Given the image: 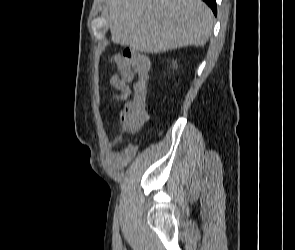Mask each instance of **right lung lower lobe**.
<instances>
[{
	"label": "right lung lower lobe",
	"mask_w": 295,
	"mask_h": 250,
	"mask_svg": "<svg viewBox=\"0 0 295 250\" xmlns=\"http://www.w3.org/2000/svg\"><path fill=\"white\" fill-rule=\"evenodd\" d=\"M205 3L208 4V6L212 9L214 14H217V9H216V0H203Z\"/></svg>",
	"instance_id": "98d812e1"
}]
</instances>
